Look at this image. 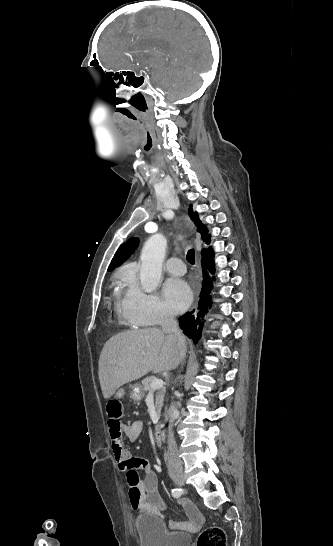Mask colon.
I'll use <instances>...</instances> for the list:
<instances>
[{
  "mask_svg": "<svg viewBox=\"0 0 333 546\" xmlns=\"http://www.w3.org/2000/svg\"><path fill=\"white\" fill-rule=\"evenodd\" d=\"M123 398L112 396L105 403L108 422H119L122 414ZM197 546H226V535L220 527H209L203 530L197 538Z\"/></svg>",
  "mask_w": 333,
  "mask_h": 546,
  "instance_id": "5ec220e1",
  "label": "colon"
}]
</instances>
